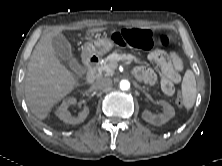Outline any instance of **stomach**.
Wrapping results in <instances>:
<instances>
[{
  "mask_svg": "<svg viewBox=\"0 0 222 166\" xmlns=\"http://www.w3.org/2000/svg\"><path fill=\"white\" fill-rule=\"evenodd\" d=\"M114 47L113 42L108 37H96L86 43L85 49L90 54L103 55Z\"/></svg>",
  "mask_w": 222,
  "mask_h": 166,
  "instance_id": "0dacf381",
  "label": "stomach"
}]
</instances>
